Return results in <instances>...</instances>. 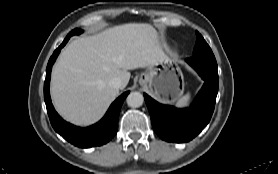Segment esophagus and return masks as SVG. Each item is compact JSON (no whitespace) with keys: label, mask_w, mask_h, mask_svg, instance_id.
Masks as SVG:
<instances>
[{"label":"esophagus","mask_w":278,"mask_h":174,"mask_svg":"<svg viewBox=\"0 0 278 174\" xmlns=\"http://www.w3.org/2000/svg\"><path fill=\"white\" fill-rule=\"evenodd\" d=\"M139 83H140L141 85H144V84H145V80H144V79H140Z\"/></svg>","instance_id":"obj_1"}]
</instances>
